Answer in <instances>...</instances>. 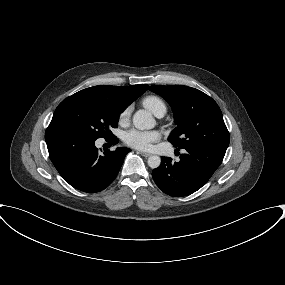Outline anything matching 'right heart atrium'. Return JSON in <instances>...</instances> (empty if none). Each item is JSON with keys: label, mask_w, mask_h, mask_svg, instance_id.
Wrapping results in <instances>:
<instances>
[{"label": "right heart atrium", "mask_w": 285, "mask_h": 285, "mask_svg": "<svg viewBox=\"0 0 285 285\" xmlns=\"http://www.w3.org/2000/svg\"><path fill=\"white\" fill-rule=\"evenodd\" d=\"M130 107H127L126 109H124L121 114H120V117H119V120L121 123L125 122L128 120L129 118V115H130Z\"/></svg>", "instance_id": "right-heart-atrium-1"}]
</instances>
